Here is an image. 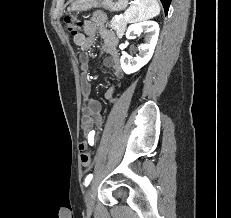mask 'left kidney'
<instances>
[{
  "instance_id": "left-kidney-1",
  "label": "left kidney",
  "mask_w": 231,
  "mask_h": 218,
  "mask_svg": "<svg viewBox=\"0 0 231 218\" xmlns=\"http://www.w3.org/2000/svg\"><path fill=\"white\" fill-rule=\"evenodd\" d=\"M159 30V25L155 21H143L128 27L126 32L128 39L133 38L135 34H141L143 31L148 35L145 38V43L139 46V55L136 58L129 59L126 55L121 56V67L126 74L138 71L149 62L157 44Z\"/></svg>"
}]
</instances>
